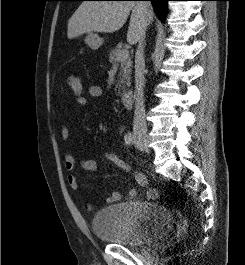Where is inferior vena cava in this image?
Listing matches in <instances>:
<instances>
[{"label":"inferior vena cava","mask_w":245,"mask_h":265,"mask_svg":"<svg viewBox=\"0 0 245 265\" xmlns=\"http://www.w3.org/2000/svg\"><path fill=\"white\" fill-rule=\"evenodd\" d=\"M138 7L142 14V28L139 32L138 47L135 54V112L133 120V132L135 135L146 134L147 124L145 120L144 92V47L145 31L152 19V7L149 1L138 2Z\"/></svg>","instance_id":"1"}]
</instances>
